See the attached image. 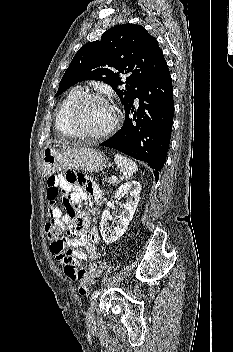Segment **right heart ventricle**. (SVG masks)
<instances>
[{
  "label": "right heart ventricle",
  "mask_w": 233,
  "mask_h": 352,
  "mask_svg": "<svg viewBox=\"0 0 233 352\" xmlns=\"http://www.w3.org/2000/svg\"><path fill=\"white\" fill-rule=\"evenodd\" d=\"M81 94V90L79 88H73L69 91V93L65 96L63 101L61 102L59 109L56 114V128L62 133L64 136L73 137L68 124H67V113L72 104V102L76 99L77 96Z\"/></svg>",
  "instance_id": "obj_1"
}]
</instances>
